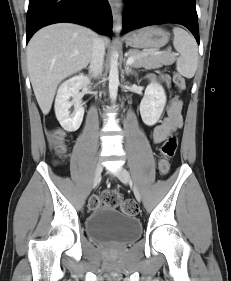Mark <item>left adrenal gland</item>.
Returning a JSON list of instances; mask_svg holds the SVG:
<instances>
[{"mask_svg":"<svg viewBox=\"0 0 231 281\" xmlns=\"http://www.w3.org/2000/svg\"><path fill=\"white\" fill-rule=\"evenodd\" d=\"M124 68H125V73H126L127 75H129V74H134V71H133V69H132V66H129V65L126 63L125 66H124Z\"/></svg>","mask_w":231,"mask_h":281,"instance_id":"left-adrenal-gland-1","label":"left adrenal gland"}]
</instances>
